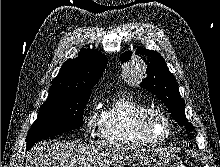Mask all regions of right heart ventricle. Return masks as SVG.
Wrapping results in <instances>:
<instances>
[{"mask_svg": "<svg viewBox=\"0 0 220 167\" xmlns=\"http://www.w3.org/2000/svg\"><path fill=\"white\" fill-rule=\"evenodd\" d=\"M147 108L148 105L129 94L116 95L102 113L100 139L114 145L146 143L138 131L137 121Z\"/></svg>", "mask_w": 220, "mask_h": 167, "instance_id": "e07e8e85", "label": "right heart ventricle"}]
</instances>
